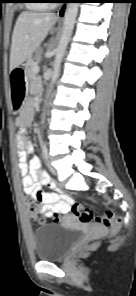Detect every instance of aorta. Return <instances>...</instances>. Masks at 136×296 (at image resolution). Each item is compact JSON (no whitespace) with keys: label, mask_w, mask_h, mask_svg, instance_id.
Returning <instances> with one entry per match:
<instances>
[{"label":"aorta","mask_w":136,"mask_h":296,"mask_svg":"<svg viewBox=\"0 0 136 296\" xmlns=\"http://www.w3.org/2000/svg\"><path fill=\"white\" fill-rule=\"evenodd\" d=\"M78 7H79V3H68V6L65 12L62 35H61L58 47L56 49L53 70L51 73V84H50L49 94L59 75L61 62L64 57L68 42L70 40L72 31H73L74 23H75L77 12H78ZM44 119H45V115L43 114L42 124L44 123Z\"/></svg>","instance_id":"1"}]
</instances>
